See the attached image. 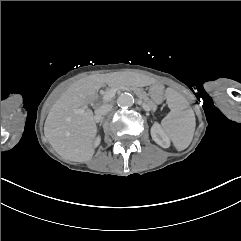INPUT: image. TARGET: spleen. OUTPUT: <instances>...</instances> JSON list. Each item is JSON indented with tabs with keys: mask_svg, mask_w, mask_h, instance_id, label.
Returning <instances> with one entry per match:
<instances>
[{
	"mask_svg": "<svg viewBox=\"0 0 241 241\" xmlns=\"http://www.w3.org/2000/svg\"><path fill=\"white\" fill-rule=\"evenodd\" d=\"M168 106L171 112L161 120L164 133L177 151L186 149L195 131V115L188 102L172 88L167 90Z\"/></svg>",
	"mask_w": 241,
	"mask_h": 241,
	"instance_id": "spleen-1",
	"label": "spleen"
}]
</instances>
